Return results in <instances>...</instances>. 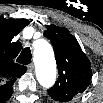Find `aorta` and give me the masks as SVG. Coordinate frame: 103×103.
Returning <instances> with one entry per match:
<instances>
[{
	"mask_svg": "<svg viewBox=\"0 0 103 103\" xmlns=\"http://www.w3.org/2000/svg\"><path fill=\"white\" fill-rule=\"evenodd\" d=\"M34 64L36 77L40 85L45 88L53 86L56 80V61L52 46L45 40L34 50Z\"/></svg>",
	"mask_w": 103,
	"mask_h": 103,
	"instance_id": "762f6f07",
	"label": "aorta"
}]
</instances>
